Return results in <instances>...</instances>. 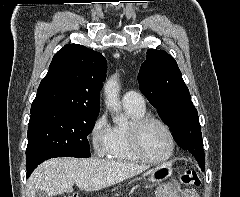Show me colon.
<instances>
[{"label":"colon","mask_w":240,"mask_h":197,"mask_svg":"<svg viewBox=\"0 0 240 197\" xmlns=\"http://www.w3.org/2000/svg\"><path fill=\"white\" fill-rule=\"evenodd\" d=\"M181 181L186 186H199L201 184V179L197 171L195 170H186L181 175ZM168 193V188L163 186L159 190V195L165 197ZM63 197H78L76 194L65 195Z\"/></svg>","instance_id":"1"}]
</instances>
